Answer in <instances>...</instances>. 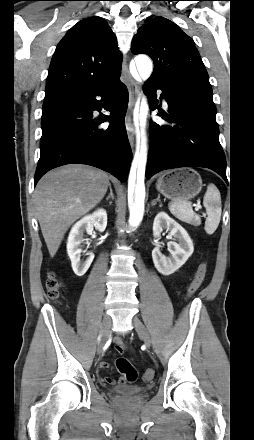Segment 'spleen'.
<instances>
[{"label": "spleen", "mask_w": 254, "mask_h": 440, "mask_svg": "<svg viewBox=\"0 0 254 440\" xmlns=\"http://www.w3.org/2000/svg\"><path fill=\"white\" fill-rule=\"evenodd\" d=\"M206 208L207 218L205 221V231L207 234H213L217 229L221 218V195L218 188L209 184L203 199ZM170 212L179 220L191 224L200 225V217L193 211L191 202L178 200L170 203Z\"/></svg>", "instance_id": "1"}]
</instances>
